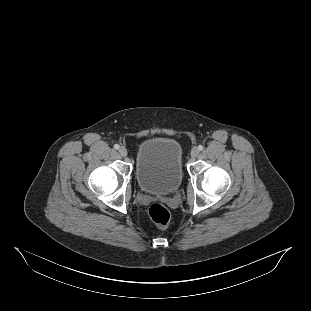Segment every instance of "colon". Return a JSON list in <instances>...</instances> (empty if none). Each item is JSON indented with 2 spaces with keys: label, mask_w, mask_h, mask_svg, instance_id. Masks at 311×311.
I'll use <instances>...</instances> for the list:
<instances>
[{
  "label": "colon",
  "mask_w": 311,
  "mask_h": 311,
  "mask_svg": "<svg viewBox=\"0 0 311 311\" xmlns=\"http://www.w3.org/2000/svg\"><path fill=\"white\" fill-rule=\"evenodd\" d=\"M149 216L151 220L159 227L166 228L170 222V212L169 210L160 203H153L149 207Z\"/></svg>",
  "instance_id": "colon-1"
}]
</instances>
